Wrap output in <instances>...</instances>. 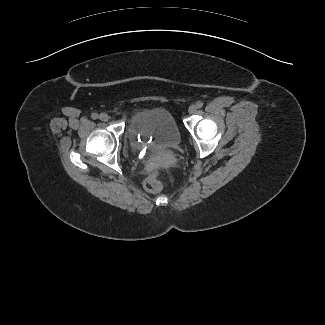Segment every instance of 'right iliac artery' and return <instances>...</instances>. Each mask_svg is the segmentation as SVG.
<instances>
[{
	"mask_svg": "<svg viewBox=\"0 0 325 325\" xmlns=\"http://www.w3.org/2000/svg\"><path fill=\"white\" fill-rule=\"evenodd\" d=\"M91 117H92V119H97L98 118V114L97 113H92Z\"/></svg>",
	"mask_w": 325,
	"mask_h": 325,
	"instance_id": "right-iliac-artery-1",
	"label": "right iliac artery"
}]
</instances>
